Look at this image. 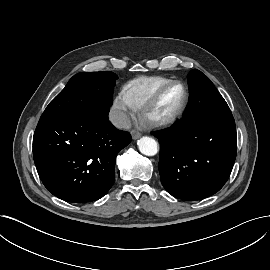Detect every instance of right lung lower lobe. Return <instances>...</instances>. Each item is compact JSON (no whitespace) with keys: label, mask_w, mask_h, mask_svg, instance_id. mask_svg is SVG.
<instances>
[{"label":"right lung lower lobe","mask_w":270,"mask_h":270,"mask_svg":"<svg viewBox=\"0 0 270 270\" xmlns=\"http://www.w3.org/2000/svg\"><path fill=\"white\" fill-rule=\"evenodd\" d=\"M109 107L81 115L41 117L33 157L44 186L74 203L95 201L113 184L116 156L131 141L108 120Z\"/></svg>","instance_id":"1"}]
</instances>
